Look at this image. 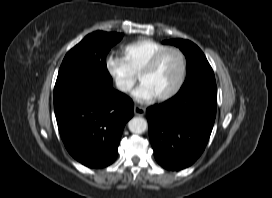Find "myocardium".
<instances>
[{
    "label": "myocardium",
    "mask_w": 272,
    "mask_h": 198,
    "mask_svg": "<svg viewBox=\"0 0 272 198\" xmlns=\"http://www.w3.org/2000/svg\"><path fill=\"white\" fill-rule=\"evenodd\" d=\"M170 52H175L180 56V59H181V73H180V76H179V79H178L176 85L173 87L172 90H170L168 93H166L164 95H161V96H158V97L154 98L158 102L167 101V100L173 98L182 89V87L184 85V82H185V79H186V75H187V59H186L185 53L181 49H179L177 47H167V48H164V49L160 50L143 67V69L139 73V77H138L139 81H141V78L144 75H147V74L151 73L152 71H154L156 69V67L159 65L160 61L163 59V57L166 54L170 53Z\"/></svg>",
    "instance_id": "obj_1"
}]
</instances>
